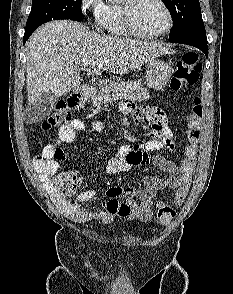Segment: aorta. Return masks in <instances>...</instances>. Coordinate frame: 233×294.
Returning a JSON list of instances; mask_svg holds the SVG:
<instances>
[{
	"instance_id": "aorta-1",
	"label": "aorta",
	"mask_w": 233,
	"mask_h": 294,
	"mask_svg": "<svg viewBox=\"0 0 233 294\" xmlns=\"http://www.w3.org/2000/svg\"><path fill=\"white\" fill-rule=\"evenodd\" d=\"M108 2H116L117 0H106Z\"/></svg>"
}]
</instances>
